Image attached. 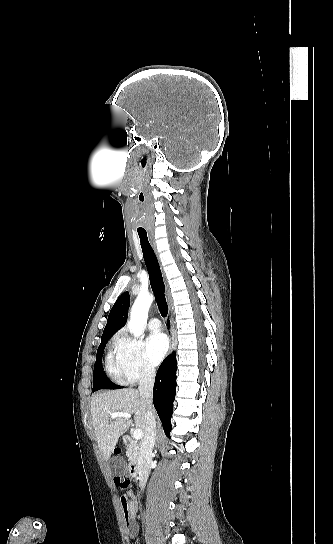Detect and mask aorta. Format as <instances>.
I'll return each mask as SVG.
<instances>
[{"label": "aorta", "instance_id": "obj_1", "mask_svg": "<svg viewBox=\"0 0 333 544\" xmlns=\"http://www.w3.org/2000/svg\"><path fill=\"white\" fill-rule=\"evenodd\" d=\"M153 302V295L150 293H139L131 312L129 328L134 337H139L147 324L148 311Z\"/></svg>", "mask_w": 333, "mask_h": 544}]
</instances>
